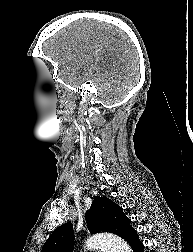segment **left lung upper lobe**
<instances>
[{
  "label": "left lung upper lobe",
  "instance_id": "left-lung-upper-lobe-1",
  "mask_svg": "<svg viewBox=\"0 0 193 252\" xmlns=\"http://www.w3.org/2000/svg\"><path fill=\"white\" fill-rule=\"evenodd\" d=\"M88 230L93 233L110 232L127 240L133 230L130 220L120 206L106 196H97L86 212ZM74 234L72 223L55 229L42 247L41 252H73Z\"/></svg>",
  "mask_w": 193,
  "mask_h": 252
}]
</instances>
